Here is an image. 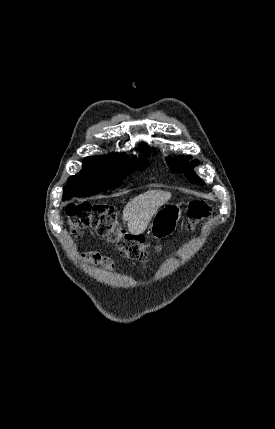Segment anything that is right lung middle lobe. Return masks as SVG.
I'll use <instances>...</instances> for the list:
<instances>
[{
  "label": "right lung middle lobe",
  "instance_id": "right-lung-middle-lobe-1",
  "mask_svg": "<svg viewBox=\"0 0 275 429\" xmlns=\"http://www.w3.org/2000/svg\"><path fill=\"white\" fill-rule=\"evenodd\" d=\"M149 157V156H147ZM148 166L146 158L123 157L107 166L85 164L83 170L68 179L64 187L63 200L72 197L91 196L100 191L115 188L126 176Z\"/></svg>",
  "mask_w": 275,
  "mask_h": 429
}]
</instances>
